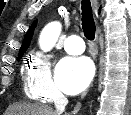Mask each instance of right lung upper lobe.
Here are the masks:
<instances>
[{"mask_svg":"<svg viewBox=\"0 0 131 115\" xmlns=\"http://www.w3.org/2000/svg\"><path fill=\"white\" fill-rule=\"evenodd\" d=\"M36 23L37 21H35L32 26L30 27V29L28 30V32L26 33L25 35V38L23 40V43H22V46L20 48V52H19V55H23V53L27 50L29 44H30V41H31V38L33 36V32H34V29H35V26H36ZM18 55V56H19Z\"/></svg>","mask_w":131,"mask_h":115,"instance_id":"right-lung-upper-lobe-1","label":"right lung upper lobe"}]
</instances>
